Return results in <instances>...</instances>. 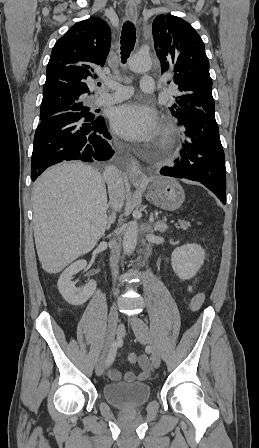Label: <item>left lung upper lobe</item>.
Listing matches in <instances>:
<instances>
[{
	"mask_svg": "<svg viewBox=\"0 0 259 448\" xmlns=\"http://www.w3.org/2000/svg\"><path fill=\"white\" fill-rule=\"evenodd\" d=\"M156 54L161 62V74L174 72L171 81L180 95L169 110L178 117L187 109H202L214 113L212 79L204 43L185 20L174 15H159L152 24Z\"/></svg>",
	"mask_w": 259,
	"mask_h": 448,
	"instance_id": "obj_1",
	"label": "left lung upper lobe"
}]
</instances>
